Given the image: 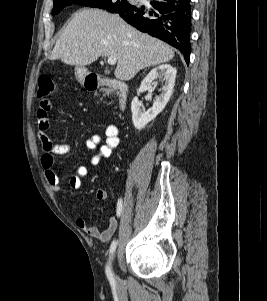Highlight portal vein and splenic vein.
<instances>
[{"label":"portal vein and splenic vein","mask_w":267,"mask_h":301,"mask_svg":"<svg viewBox=\"0 0 267 301\" xmlns=\"http://www.w3.org/2000/svg\"><path fill=\"white\" fill-rule=\"evenodd\" d=\"M107 62L109 65H115L117 62V58L115 56H110L108 57Z\"/></svg>","instance_id":"1"}]
</instances>
